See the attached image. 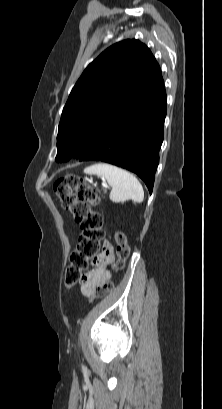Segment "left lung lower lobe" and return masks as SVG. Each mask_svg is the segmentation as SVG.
<instances>
[{
  "label": "left lung lower lobe",
  "mask_w": 222,
  "mask_h": 409,
  "mask_svg": "<svg viewBox=\"0 0 222 409\" xmlns=\"http://www.w3.org/2000/svg\"><path fill=\"white\" fill-rule=\"evenodd\" d=\"M164 84L144 100L127 101L94 136L80 161H103L136 173L152 192L166 116Z\"/></svg>",
  "instance_id": "left-lung-lower-lobe-1"
}]
</instances>
